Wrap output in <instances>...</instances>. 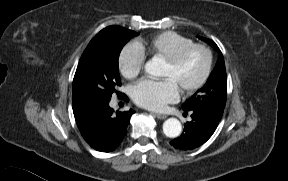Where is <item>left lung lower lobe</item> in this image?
<instances>
[{
  "instance_id": "1",
  "label": "left lung lower lobe",
  "mask_w": 288,
  "mask_h": 181,
  "mask_svg": "<svg viewBox=\"0 0 288 181\" xmlns=\"http://www.w3.org/2000/svg\"><path fill=\"white\" fill-rule=\"evenodd\" d=\"M192 121L185 124L182 135L171 141L180 150H192L205 143L216 130L221 118L202 110L190 111Z\"/></svg>"
}]
</instances>
